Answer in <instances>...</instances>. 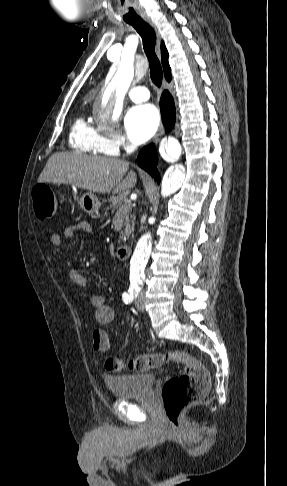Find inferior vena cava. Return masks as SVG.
<instances>
[{
	"label": "inferior vena cava",
	"mask_w": 287,
	"mask_h": 486,
	"mask_svg": "<svg viewBox=\"0 0 287 486\" xmlns=\"http://www.w3.org/2000/svg\"><path fill=\"white\" fill-rule=\"evenodd\" d=\"M136 149L135 145H131L128 147V152H133Z\"/></svg>",
	"instance_id": "obj_1"
}]
</instances>
